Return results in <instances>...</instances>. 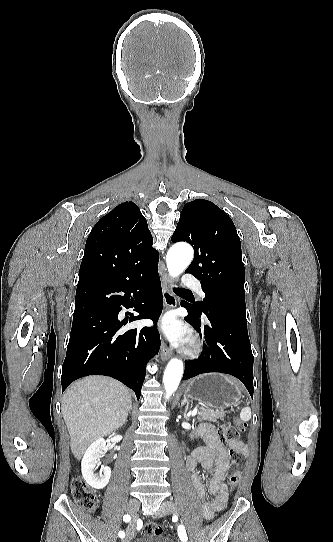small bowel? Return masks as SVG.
Returning a JSON list of instances; mask_svg holds the SVG:
<instances>
[{
    "instance_id": "small-bowel-1",
    "label": "small bowel",
    "mask_w": 333,
    "mask_h": 542,
    "mask_svg": "<svg viewBox=\"0 0 333 542\" xmlns=\"http://www.w3.org/2000/svg\"><path fill=\"white\" fill-rule=\"evenodd\" d=\"M196 436H204L206 446L197 448L188 457L186 466L192 472V484L194 490L202 500V515L210 520L216 512L221 511L227 502L226 484L224 482L228 473L230 457L229 450L236 454L246 456L248 447L243 441H235L223 444L213 426L202 424L193 432ZM198 463H201L203 469L210 474L208 490L212 497L205 500L207 488L202 481L200 473L196 470ZM138 532L135 525H130L126 529L127 540H132Z\"/></svg>"
}]
</instances>
